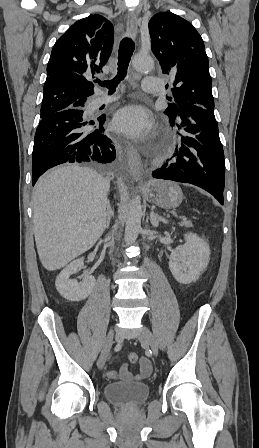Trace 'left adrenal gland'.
Returning a JSON list of instances; mask_svg holds the SVG:
<instances>
[{
	"mask_svg": "<svg viewBox=\"0 0 259 448\" xmlns=\"http://www.w3.org/2000/svg\"><path fill=\"white\" fill-rule=\"evenodd\" d=\"M150 222L154 228H158L159 222H163V224H168V220L166 218H163V216H158V214H155V212H150Z\"/></svg>",
	"mask_w": 259,
	"mask_h": 448,
	"instance_id": "1",
	"label": "left adrenal gland"
}]
</instances>
